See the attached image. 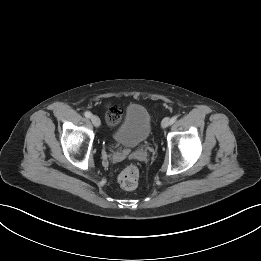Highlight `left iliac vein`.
<instances>
[{"instance_id": "left-iliac-vein-1", "label": "left iliac vein", "mask_w": 261, "mask_h": 261, "mask_svg": "<svg viewBox=\"0 0 261 261\" xmlns=\"http://www.w3.org/2000/svg\"><path fill=\"white\" fill-rule=\"evenodd\" d=\"M170 124H171V123H170V118H168V117L164 118V119L162 120V122H161L162 128H166V127H168Z\"/></svg>"}]
</instances>
